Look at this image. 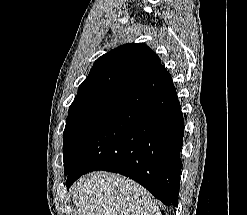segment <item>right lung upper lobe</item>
<instances>
[{
	"label": "right lung upper lobe",
	"instance_id": "obj_1",
	"mask_svg": "<svg viewBox=\"0 0 247 215\" xmlns=\"http://www.w3.org/2000/svg\"><path fill=\"white\" fill-rule=\"evenodd\" d=\"M161 65V60L145 44L117 47L98 58L78 92L108 88L132 89Z\"/></svg>",
	"mask_w": 247,
	"mask_h": 215
}]
</instances>
